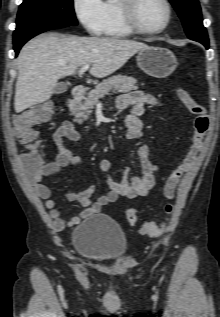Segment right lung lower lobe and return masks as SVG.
Masks as SVG:
<instances>
[{"instance_id":"right-lung-lower-lobe-1","label":"right lung lower lobe","mask_w":220,"mask_h":317,"mask_svg":"<svg viewBox=\"0 0 220 317\" xmlns=\"http://www.w3.org/2000/svg\"><path fill=\"white\" fill-rule=\"evenodd\" d=\"M67 26L68 25H65V24H47V25L38 26L28 30L27 32L19 36L18 38L13 39L14 50L16 52V55L18 54L20 48L32 37L51 29L62 28Z\"/></svg>"}]
</instances>
